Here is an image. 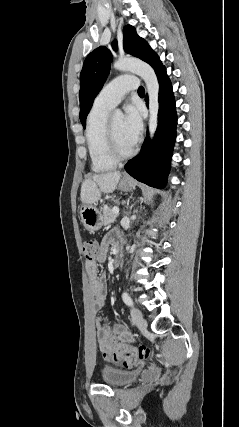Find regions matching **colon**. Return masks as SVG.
I'll list each match as a JSON object with an SVG mask.
<instances>
[{
	"instance_id": "colon-1",
	"label": "colon",
	"mask_w": 239,
	"mask_h": 427,
	"mask_svg": "<svg viewBox=\"0 0 239 427\" xmlns=\"http://www.w3.org/2000/svg\"><path fill=\"white\" fill-rule=\"evenodd\" d=\"M83 254L87 261H93L98 254L99 245L94 239L87 240L82 245ZM113 358L117 362H122L127 367L138 365L149 358L150 349L144 345L132 347L123 343H116L113 346Z\"/></svg>"
}]
</instances>
